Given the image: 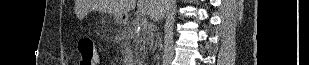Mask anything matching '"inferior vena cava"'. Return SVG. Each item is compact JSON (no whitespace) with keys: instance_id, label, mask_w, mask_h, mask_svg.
Here are the masks:
<instances>
[{"instance_id":"obj_1","label":"inferior vena cava","mask_w":309,"mask_h":65,"mask_svg":"<svg viewBox=\"0 0 309 65\" xmlns=\"http://www.w3.org/2000/svg\"><path fill=\"white\" fill-rule=\"evenodd\" d=\"M162 1L166 3L165 9H167L169 2L167 0H162Z\"/></svg>"}]
</instances>
